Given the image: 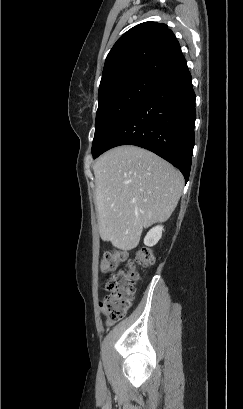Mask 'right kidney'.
<instances>
[{
	"instance_id": "1",
	"label": "right kidney",
	"mask_w": 243,
	"mask_h": 409,
	"mask_svg": "<svg viewBox=\"0 0 243 409\" xmlns=\"http://www.w3.org/2000/svg\"><path fill=\"white\" fill-rule=\"evenodd\" d=\"M163 226H156L152 228L144 238V244L152 247L158 243L162 237Z\"/></svg>"
}]
</instances>
